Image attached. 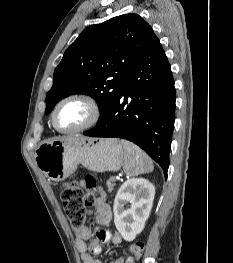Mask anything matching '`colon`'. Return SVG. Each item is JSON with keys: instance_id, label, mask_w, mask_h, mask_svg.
Listing matches in <instances>:
<instances>
[{"instance_id": "obj_1", "label": "colon", "mask_w": 233, "mask_h": 263, "mask_svg": "<svg viewBox=\"0 0 233 263\" xmlns=\"http://www.w3.org/2000/svg\"><path fill=\"white\" fill-rule=\"evenodd\" d=\"M86 187L89 192L86 200L83 198L82 191L73 182H68L63 185L61 190V201L65 214L72 226L80 228L83 226L87 214L88 207L92 206L95 202L94 192L97 187L96 178L92 175L86 177ZM131 254L135 260H139L145 251V243L136 241L131 245Z\"/></svg>"}]
</instances>
